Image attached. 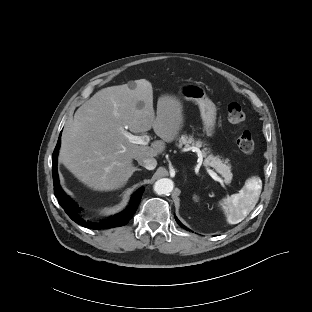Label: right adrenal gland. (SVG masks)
I'll list each match as a JSON object with an SVG mask.
<instances>
[{"label":"right adrenal gland","instance_id":"obj_1","mask_svg":"<svg viewBox=\"0 0 312 312\" xmlns=\"http://www.w3.org/2000/svg\"><path fill=\"white\" fill-rule=\"evenodd\" d=\"M133 171H141L138 167H134Z\"/></svg>","mask_w":312,"mask_h":312}]
</instances>
